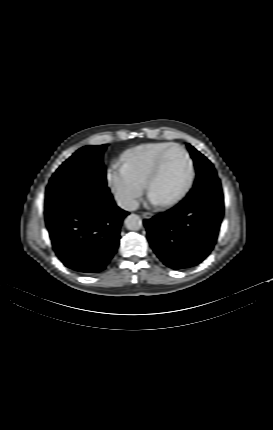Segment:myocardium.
Returning <instances> with one entry per match:
<instances>
[{
  "label": "myocardium",
  "instance_id": "myocardium-1",
  "mask_svg": "<svg viewBox=\"0 0 273 430\" xmlns=\"http://www.w3.org/2000/svg\"><path fill=\"white\" fill-rule=\"evenodd\" d=\"M173 149H179L183 152V154L187 160V163H188V175H187V178H186L184 185L178 191V193L175 196H173L171 199L160 203V205L162 207H171V206L177 204L189 191V189L193 183L194 175H195L193 160H192L189 152L180 144H175V143L171 144L168 147H166L165 149H163L160 152V154L158 155V157H157V159H156V161H155V163H154V165H153V167H152V169H151V171H150V173L146 179V182H145V188H146L147 192L148 193L150 192V188H151L152 183L154 182V180L159 175V173L161 171L162 163H163V160H164L166 154Z\"/></svg>",
  "mask_w": 273,
  "mask_h": 430
}]
</instances>
